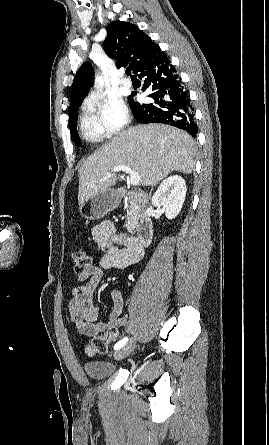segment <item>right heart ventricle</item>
Instances as JSON below:
<instances>
[{
    "instance_id": "obj_1",
    "label": "right heart ventricle",
    "mask_w": 269,
    "mask_h": 445,
    "mask_svg": "<svg viewBox=\"0 0 269 445\" xmlns=\"http://www.w3.org/2000/svg\"><path fill=\"white\" fill-rule=\"evenodd\" d=\"M80 131L83 138L90 143L100 142L107 135L87 110L80 117Z\"/></svg>"
}]
</instances>
